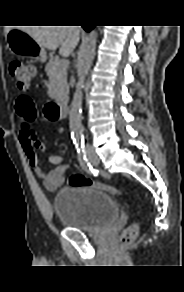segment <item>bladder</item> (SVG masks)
Here are the masks:
<instances>
[{
    "label": "bladder",
    "mask_w": 184,
    "mask_h": 292,
    "mask_svg": "<svg viewBox=\"0 0 184 292\" xmlns=\"http://www.w3.org/2000/svg\"><path fill=\"white\" fill-rule=\"evenodd\" d=\"M53 210L65 227L96 233L118 217L117 202L103 191L89 186H69L55 196Z\"/></svg>",
    "instance_id": "obj_1"
}]
</instances>
